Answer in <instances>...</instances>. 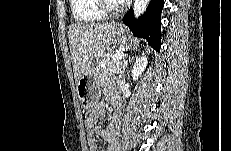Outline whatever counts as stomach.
<instances>
[{
	"mask_svg": "<svg viewBox=\"0 0 231 151\" xmlns=\"http://www.w3.org/2000/svg\"><path fill=\"white\" fill-rule=\"evenodd\" d=\"M126 30L116 28L114 31V43L125 45L127 42ZM101 58L95 59L85 71L77 84V95L82 107L86 110L92 109L100 99V78L98 77V66Z\"/></svg>",
	"mask_w": 231,
	"mask_h": 151,
	"instance_id": "stomach-1",
	"label": "stomach"
}]
</instances>
